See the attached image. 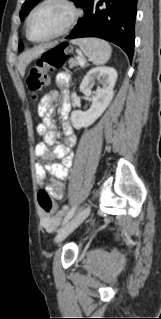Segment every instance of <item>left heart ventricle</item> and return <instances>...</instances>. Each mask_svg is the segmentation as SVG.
<instances>
[{"label": "left heart ventricle", "instance_id": "left-heart-ventricle-1", "mask_svg": "<svg viewBox=\"0 0 161 319\" xmlns=\"http://www.w3.org/2000/svg\"><path fill=\"white\" fill-rule=\"evenodd\" d=\"M68 10L62 5L51 3L40 8L33 16L30 34L34 39H41L58 31L68 18Z\"/></svg>", "mask_w": 161, "mask_h": 319}]
</instances>
